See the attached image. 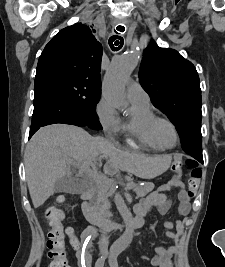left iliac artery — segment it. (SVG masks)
Listing matches in <instances>:
<instances>
[{
	"label": "left iliac artery",
	"instance_id": "44dca946",
	"mask_svg": "<svg viewBox=\"0 0 225 267\" xmlns=\"http://www.w3.org/2000/svg\"><path fill=\"white\" fill-rule=\"evenodd\" d=\"M119 255V251H113L109 257V263L111 267H118L117 257Z\"/></svg>",
	"mask_w": 225,
	"mask_h": 267
}]
</instances>
